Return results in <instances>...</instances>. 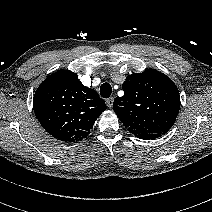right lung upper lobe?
<instances>
[{"label":"right lung upper lobe","instance_id":"obj_1","mask_svg":"<svg viewBox=\"0 0 212 212\" xmlns=\"http://www.w3.org/2000/svg\"><path fill=\"white\" fill-rule=\"evenodd\" d=\"M33 108L41 126L52 137L75 142L89 134L106 105L95 90L83 86L76 73L60 70L40 84Z\"/></svg>","mask_w":212,"mask_h":212}]
</instances>
